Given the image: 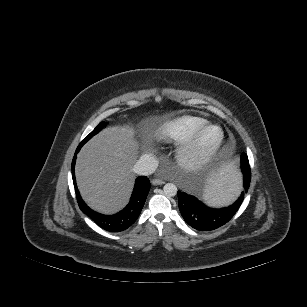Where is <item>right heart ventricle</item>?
<instances>
[{"mask_svg":"<svg viewBox=\"0 0 307 307\" xmlns=\"http://www.w3.org/2000/svg\"><path fill=\"white\" fill-rule=\"evenodd\" d=\"M208 121L198 116H182L162 123L155 131L159 140L183 142Z\"/></svg>","mask_w":307,"mask_h":307,"instance_id":"right-heart-ventricle-1","label":"right heart ventricle"}]
</instances>
